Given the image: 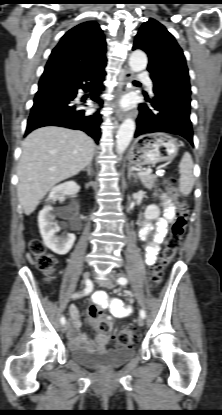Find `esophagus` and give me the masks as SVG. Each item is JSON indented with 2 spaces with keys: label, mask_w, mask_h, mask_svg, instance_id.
I'll return each mask as SVG.
<instances>
[{
  "label": "esophagus",
  "mask_w": 222,
  "mask_h": 415,
  "mask_svg": "<svg viewBox=\"0 0 222 415\" xmlns=\"http://www.w3.org/2000/svg\"><path fill=\"white\" fill-rule=\"evenodd\" d=\"M133 74L130 70H125L121 74V86L119 88V94H124L129 91L130 83L132 81ZM115 116L119 121L124 119V112L120 109L118 103L115 104Z\"/></svg>",
  "instance_id": "34e87169"
}]
</instances>
